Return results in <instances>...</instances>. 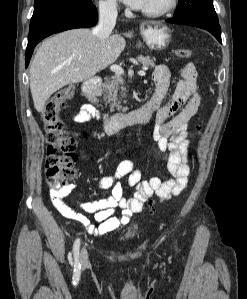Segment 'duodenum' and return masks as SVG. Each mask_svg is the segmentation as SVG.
Instances as JSON below:
<instances>
[{
    "label": "duodenum",
    "mask_w": 247,
    "mask_h": 299,
    "mask_svg": "<svg viewBox=\"0 0 247 299\" xmlns=\"http://www.w3.org/2000/svg\"><path fill=\"white\" fill-rule=\"evenodd\" d=\"M101 86V78L92 77L86 80L82 85V92L85 98L91 103L98 102V90ZM155 114V107L151 102H147L141 108L126 112L105 115L103 118V127L107 134L111 135L129 125L139 122H148Z\"/></svg>",
    "instance_id": "410a0bca"
}]
</instances>
